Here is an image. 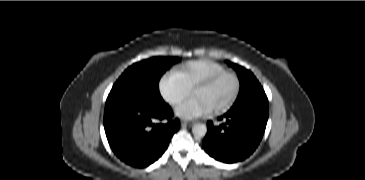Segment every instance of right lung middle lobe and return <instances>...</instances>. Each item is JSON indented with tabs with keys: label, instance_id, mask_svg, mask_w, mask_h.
<instances>
[{
	"label": "right lung middle lobe",
	"instance_id": "right-lung-middle-lobe-1",
	"mask_svg": "<svg viewBox=\"0 0 365 180\" xmlns=\"http://www.w3.org/2000/svg\"><path fill=\"white\" fill-rule=\"evenodd\" d=\"M177 58L154 57L130 66L116 81L106 106L128 100L160 101L159 80ZM105 106V107H106Z\"/></svg>",
	"mask_w": 365,
	"mask_h": 180
}]
</instances>
